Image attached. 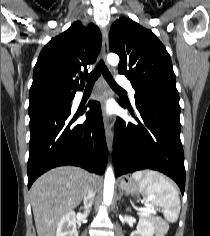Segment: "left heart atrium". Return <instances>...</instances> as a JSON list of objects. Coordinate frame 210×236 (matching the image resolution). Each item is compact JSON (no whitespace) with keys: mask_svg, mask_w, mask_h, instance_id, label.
Segmentation results:
<instances>
[{"mask_svg":"<svg viewBox=\"0 0 210 236\" xmlns=\"http://www.w3.org/2000/svg\"><path fill=\"white\" fill-rule=\"evenodd\" d=\"M102 110H103V113H104V115H108V114H110L111 113V107L109 106V105H107V106H104L103 108H102Z\"/></svg>","mask_w":210,"mask_h":236,"instance_id":"left-heart-atrium-1","label":"left heart atrium"}]
</instances>
